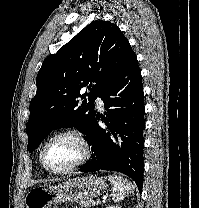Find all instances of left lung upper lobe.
Returning <instances> with one entry per match:
<instances>
[{
  "label": "left lung upper lobe",
  "mask_w": 199,
  "mask_h": 208,
  "mask_svg": "<svg viewBox=\"0 0 199 208\" xmlns=\"http://www.w3.org/2000/svg\"><path fill=\"white\" fill-rule=\"evenodd\" d=\"M134 55L115 24L94 21L45 59L30 102L27 150H35L52 130L61 127L75 126L89 136L96 116L91 102Z\"/></svg>",
  "instance_id": "left-lung-upper-lobe-1"
}]
</instances>
